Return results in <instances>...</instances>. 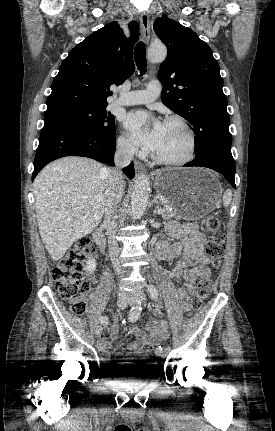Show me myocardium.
<instances>
[{
    "instance_id": "1",
    "label": "myocardium",
    "mask_w": 275,
    "mask_h": 431,
    "mask_svg": "<svg viewBox=\"0 0 275 431\" xmlns=\"http://www.w3.org/2000/svg\"><path fill=\"white\" fill-rule=\"evenodd\" d=\"M165 123H177L184 129L188 138V150L184 157L177 160L163 159L160 156H158L156 153H153L152 154L153 161L159 165L168 166V167H176V166H182V165L188 164L194 159L196 154V149H197L196 135L192 127L184 118L178 115H173L166 118Z\"/></svg>"
}]
</instances>
